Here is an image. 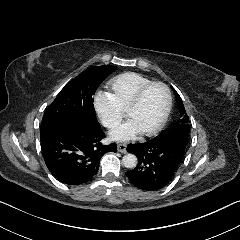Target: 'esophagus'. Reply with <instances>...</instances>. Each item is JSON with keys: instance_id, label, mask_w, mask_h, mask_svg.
<instances>
[{"instance_id": "34e87169", "label": "esophagus", "mask_w": 240, "mask_h": 240, "mask_svg": "<svg viewBox=\"0 0 240 240\" xmlns=\"http://www.w3.org/2000/svg\"><path fill=\"white\" fill-rule=\"evenodd\" d=\"M117 150L121 153H126L127 152V144L126 143H119L117 145Z\"/></svg>"}]
</instances>
